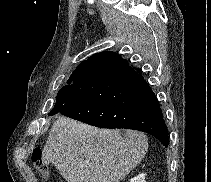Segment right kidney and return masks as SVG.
Here are the masks:
<instances>
[{
  "label": "right kidney",
  "mask_w": 211,
  "mask_h": 182,
  "mask_svg": "<svg viewBox=\"0 0 211 182\" xmlns=\"http://www.w3.org/2000/svg\"><path fill=\"white\" fill-rule=\"evenodd\" d=\"M130 182H146L145 181V174H139L136 177L132 178Z\"/></svg>",
  "instance_id": "right-kidney-1"
}]
</instances>
